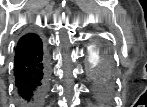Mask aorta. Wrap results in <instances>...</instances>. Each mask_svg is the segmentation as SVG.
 <instances>
[{
	"label": "aorta",
	"mask_w": 147,
	"mask_h": 107,
	"mask_svg": "<svg viewBox=\"0 0 147 107\" xmlns=\"http://www.w3.org/2000/svg\"><path fill=\"white\" fill-rule=\"evenodd\" d=\"M89 61L93 65L95 74H106L108 70L104 67L105 57L98 50L91 49L89 53Z\"/></svg>",
	"instance_id": "aorta-1"
}]
</instances>
